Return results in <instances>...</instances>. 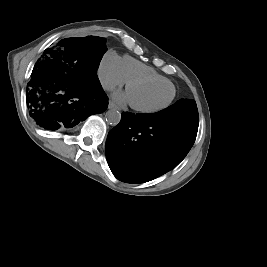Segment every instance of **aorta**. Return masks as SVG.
Masks as SVG:
<instances>
[{
  "mask_svg": "<svg viewBox=\"0 0 267 267\" xmlns=\"http://www.w3.org/2000/svg\"><path fill=\"white\" fill-rule=\"evenodd\" d=\"M106 122L110 125H117L121 120V113L116 109H110L105 114Z\"/></svg>",
  "mask_w": 267,
  "mask_h": 267,
  "instance_id": "obj_1",
  "label": "aorta"
}]
</instances>
